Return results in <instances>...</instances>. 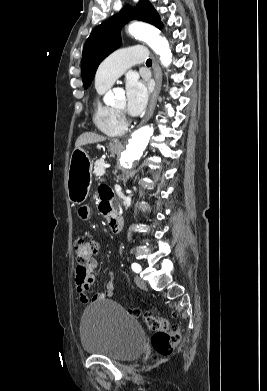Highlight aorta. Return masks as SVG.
<instances>
[{
	"mask_svg": "<svg viewBox=\"0 0 267 391\" xmlns=\"http://www.w3.org/2000/svg\"><path fill=\"white\" fill-rule=\"evenodd\" d=\"M128 32L137 39L146 42L149 47L160 56L163 66L168 67L172 62V52L168 41L160 35V31L153 26L141 22L129 25ZM153 135V127L143 126L136 130L126 148L120 156V163L124 168H131L143 154L150 137Z\"/></svg>",
	"mask_w": 267,
	"mask_h": 391,
	"instance_id": "aorta-1",
	"label": "aorta"
}]
</instances>
